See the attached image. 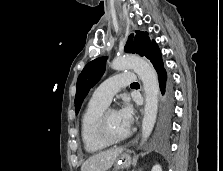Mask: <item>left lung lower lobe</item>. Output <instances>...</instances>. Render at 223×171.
Returning <instances> with one entry per match:
<instances>
[{
    "label": "left lung lower lobe",
    "mask_w": 223,
    "mask_h": 171,
    "mask_svg": "<svg viewBox=\"0 0 223 171\" xmlns=\"http://www.w3.org/2000/svg\"><path fill=\"white\" fill-rule=\"evenodd\" d=\"M146 57L153 64L157 74L161 91V112L156 140L160 145H165L171 133V123L174 112L173 82L169 73L166 72L160 49L154 42Z\"/></svg>",
    "instance_id": "obj_1"
}]
</instances>
